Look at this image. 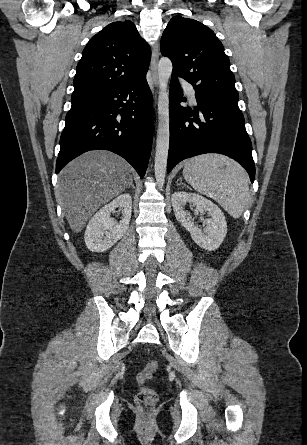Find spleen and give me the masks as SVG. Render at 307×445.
Here are the masks:
<instances>
[{"instance_id": "1", "label": "spleen", "mask_w": 307, "mask_h": 445, "mask_svg": "<svg viewBox=\"0 0 307 445\" xmlns=\"http://www.w3.org/2000/svg\"><path fill=\"white\" fill-rule=\"evenodd\" d=\"M183 176L195 190L210 196L233 218H239L250 202L245 168L224 154H199L184 164Z\"/></svg>"}]
</instances>
